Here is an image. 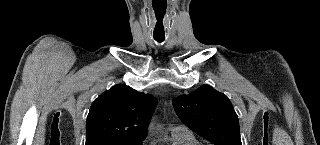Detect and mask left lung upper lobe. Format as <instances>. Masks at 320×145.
Instances as JSON below:
<instances>
[{"mask_svg": "<svg viewBox=\"0 0 320 145\" xmlns=\"http://www.w3.org/2000/svg\"><path fill=\"white\" fill-rule=\"evenodd\" d=\"M180 120L215 145H242L238 116L228 97L209 85L173 100Z\"/></svg>", "mask_w": 320, "mask_h": 145, "instance_id": "5c2ea615", "label": "left lung upper lobe"}]
</instances>
